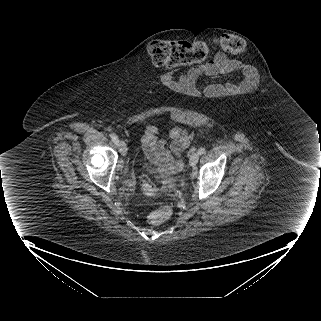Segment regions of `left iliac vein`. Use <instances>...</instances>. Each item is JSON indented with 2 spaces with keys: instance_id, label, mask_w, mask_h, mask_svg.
Returning <instances> with one entry per match:
<instances>
[{
  "instance_id": "obj_1",
  "label": "left iliac vein",
  "mask_w": 321,
  "mask_h": 321,
  "mask_svg": "<svg viewBox=\"0 0 321 321\" xmlns=\"http://www.w3.org/2000/svg\"><path fill=\"white\" fill-rule=\"evenodd\" d=\"M199 160V153L198 152H193L190 156L189 163L191 167H194Z\"/></svg>"
}]
</instances>
